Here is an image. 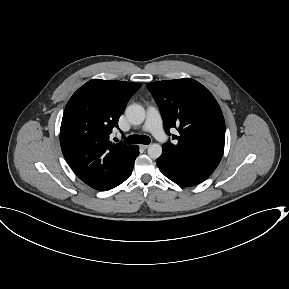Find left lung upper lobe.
<instances>
[{"label":"left lung upper lobe","mask_w":289,"mask_h":289,"mask_svg":"<svg viewBox=\"0 0 289 289\" xmlns=\"http://www.w3.org/2000/svg\"><path fill=\"white\" fill-rule=\"evenodd\" d=\"M166 128H177V143L163 145L162 155L179 162L216 168L224 151L225 121L214 96L199 82L183 78L148 83Z\"/></svg>","instance_id":"obj_1"}]
</instances>
